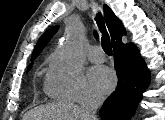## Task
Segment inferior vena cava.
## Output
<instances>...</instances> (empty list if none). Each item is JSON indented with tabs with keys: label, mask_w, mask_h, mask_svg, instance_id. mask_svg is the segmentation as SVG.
Listing matches in <instances>:
<instances>
[{
	"label": "inferior vena cava",
	"mask_w": 165,
	"mask_h": 120,
	"mask_svg": "<svg viewBox=\"0 0 165 120\" xmlns=\"http://www.w3.org/2000/svg\"><path fill=\"white\" fill-rule=\"evenodd\" d=\"M103 101L104 97L102 95L94 92L89 93L81 103V120H96V111Z\"/></svg>",
	"instance_id": "602c4592"
}]
</instances>
